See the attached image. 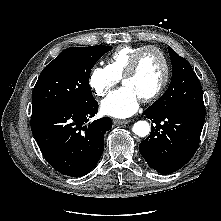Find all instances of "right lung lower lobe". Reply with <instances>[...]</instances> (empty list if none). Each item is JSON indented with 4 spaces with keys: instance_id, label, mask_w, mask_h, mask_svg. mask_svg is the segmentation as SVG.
I'll return each instance as SVG.
<instances>
[{
    "instance_id": "1",
    "label": "right lung lower lobe",
    "mask_w": 221,
    "mask_h": 221,
    "mask_svg": "<svg viewBox=\"0 0 221 221\" xmlns=\"http://www.w3.org/2000/svg\"><path fill=\"white\" fill-rule=\"evenodd\" d=\"M98 111L93 100L85 105L52 106L32 111L31 130L48 163L71 177L87 175L104 149V134L112 128L109 117L86 125Z\"/></svg>"
}]
</instances>
